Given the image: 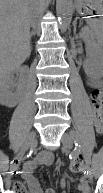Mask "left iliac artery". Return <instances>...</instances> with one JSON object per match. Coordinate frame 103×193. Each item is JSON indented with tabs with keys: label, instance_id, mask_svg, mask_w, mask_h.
Wrapping results in <instances>:
<instances>
[{
	"label": "left iliac artery",
	"instance_id": "1",
	"mask_svg": "<svg viewBox=\"0 0 103 193\" xmlns=\"http://www.w3.org/2000/svg\"><path fill=\"white\" fill-rule=\"evenodd\" d=\"M71 135H72V137L74 139L75 146L82 150L86 163L90 164V162H91V154H90L89 150L87 149V147L85 145H83L81 143V141L79 140V138H78L76 133L72 132Z\"/></svg>",
	"mask_w": 103,
	"mask_h": 193
}]
</instances>
